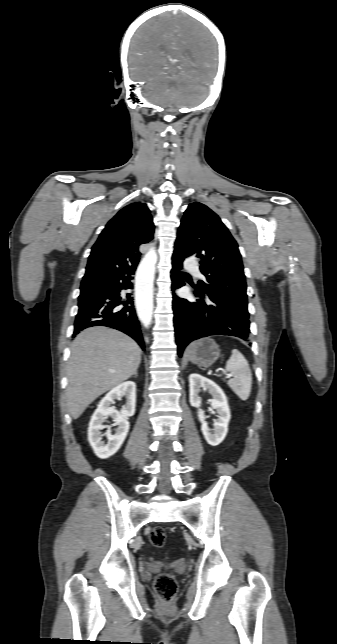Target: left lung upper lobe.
<instances>
[{
  "instance_id": "1",
  "label": "left lung upper lobe",
  "mask_w": 337,
  "mask_h": 644,
  "mask_svg": "<svg viewBox=\"0 0 337 644\" xmlns=\"http://www.w3.org/2000/svg\"><path fill=\"white\" fill-rule=\"evenodd\" d=\"M199 258L207 281L196 291L217 296L249 318L246 281L238 245L220 218L206 205L191 203L184 213L175 242L173 258Z\"/></svg>"
}]
</instances>
